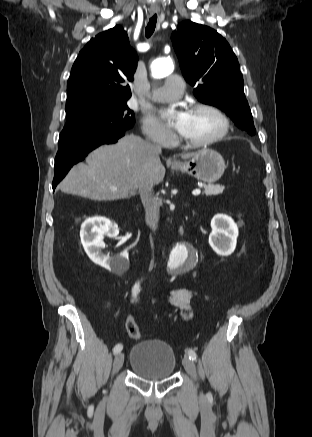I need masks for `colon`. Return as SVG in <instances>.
<instances>
[{
  "label": "colon",
  "mask_w": 312,
  "mask_h": 437,
  "mask_svg": "<svg viewBox=\"0 0 312 437\" xmlns=\"http://www.w3.org/2000/svg\"><path fill=\"white\" fill-rule=\"evenodd\" d=\"M125 327L126 331L129 334V336L133 339H139L141 336L140 330L136 324L135 319L130 316L125 321Z\"/></svg>",
  "instance_id": "5ec220e1"
}]
</instances>
